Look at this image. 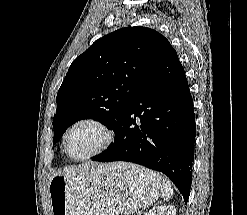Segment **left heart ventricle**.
<instances>
[{"mask_svg":"<svg viewBox=\"0 0 247 215\" xmlns=\"http://www.w3.org/2000/svg\"><path fill=\"white\" fill-rule=\"evenodd\" d=\"M103 141L102 132L91 124L74 128L67 139L68 152L74 157L85 156L94 151Z\"/></svg>","mask_w":247,"mask_h":215,"instance_id":"1","label":"left heart ventricle"}]
</instances>
